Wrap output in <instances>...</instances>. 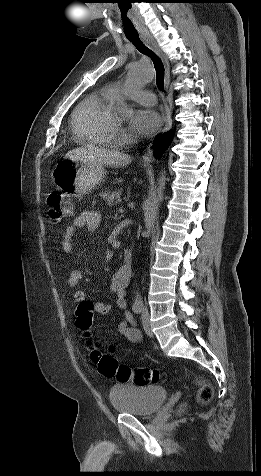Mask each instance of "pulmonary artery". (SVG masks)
<instances>
[{
    "label": "pulmonary artery",
    "instance_id": "pulmonary-artery-1",
    "mask_svg": "<svg viewBox=\"0 0 261 476\" xmlns=\"http://www.w3.org/2000/svg\"><path fill=\"white\" fill-rule=\"evenodd\" d=\"M108 91L115 97L123 92V89L120 85L111 86ZM125 95L138 103L143 105L152 106L156 104V96L150 90L135 89L129 92H125Z\"/></svg>",
    "mask_w": 261,
    "mask_h": 476
}]
</instances>
